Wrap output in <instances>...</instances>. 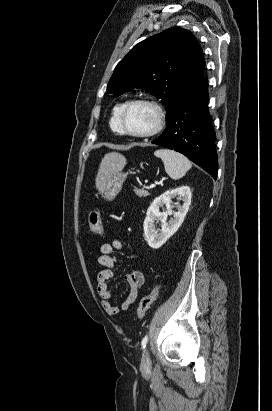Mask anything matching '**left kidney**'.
Wrapping results in <instances>:
<instances>
[{"instance_id": "1", "label": "left kidney", "mask_w": 272, "mask_h": 411, "mask_svg": "<svg viewBox=\"0 0 272 411\" xmlns=\"http://www.w3.org/2000/svg\"><path fill=\"white\" fill-rule=\"evenodd\" d=\"M191 191L188 186H181L176 189L167 190L159 197L155 198L147 210L144 220V237L148 245L153 249L160 248L166 241L176 233L182 225L184 218L191 204ZM180 197L182 205H177V212L172 210V198ZM166 206V211L160 212V208ZM173 214V218L167 222L168 216ZM161 222V231L156 230L155 223Z\"/></svg>"}]
</instances>
